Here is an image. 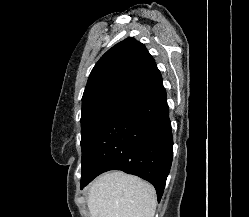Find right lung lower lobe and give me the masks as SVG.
I'll return each instance as SVG.
<instances>
[{
    "label": "right lung lower lobe",
    "mask_w": 249,
    "mask_h": 217,
    "mask_svg": "<svg viewBox=\"0 0 249 217\" xmlns=\"http://www.w3.org/2000/svg\"><path fill=\"white\" fill-rule=\"evenodd\" d=\"M162 77L155 67L110 107L82 156L81 189L99 174L121 170L149 181L160 201L173 137Z\"/></svg>",
    "instance_id": "right-lung-lower-lobe-1"
}]
</instances>
